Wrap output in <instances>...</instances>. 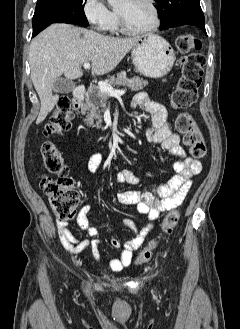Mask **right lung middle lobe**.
<instances>
[{"label": "right lung middle lobe", "instance_id": "obj_1", "mask_svg": "<svg viewBox=\"0 0 240 329\" xmlns=\"http://www.w3.org/2000/svg\"><path fill=\"white\" fill-rule=\"evenodd\" d=\"M85 3L86 0H38L32 20L33 28L46 22L88 26Z\"/></svg>", "mask_w": 240, "mask_h": 329}]
</instances>
